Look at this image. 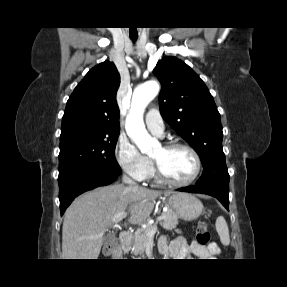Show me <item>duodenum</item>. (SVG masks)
Segmentation results:
<instances>
[{
    "label": "duodenum",
    "mask_w": 287,
    "mask_h": 287,
    "mask_svg": "<svg viewBox=\"0 0 287 287\" xmlns=\"http://www.w3.org/2000/svg\"><path fill=\"white\" fill-rule=\"evenodd\" d=\"M131 239H132V233L130 231H123L120 234V243L124 251H128Z\"/></svg>",
    "instance_id": "obj_1"
}]
</instances>
